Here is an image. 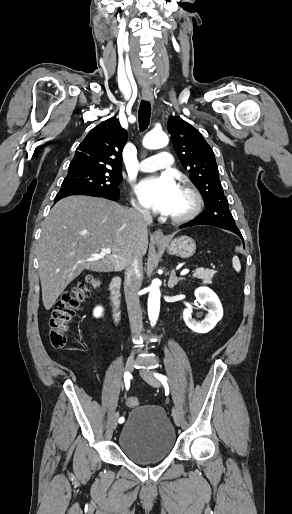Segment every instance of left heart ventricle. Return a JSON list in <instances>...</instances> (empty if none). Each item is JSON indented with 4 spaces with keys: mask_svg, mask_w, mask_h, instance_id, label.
<instances>
[{
    "mask_svg": "<svg viewBox=\"0 0 292 514\" xmlns=\"http://www.w3.org/2000/svg\"><path fill=\"white\" fill-rule=\"evenodd\" d=\"M190 206L189 197L180 190L179 196L177 198L175 207L171 213L173 214H181L188 210Z\"/></svg>",
    "mask_w": 292,
    "mask_h": 514,
    "instance_id": "obj_1",
    "label": "left heart ventricle"
}]
</instances>
